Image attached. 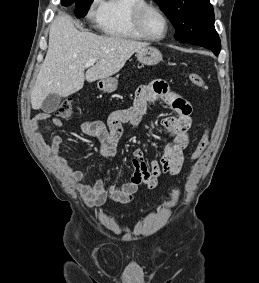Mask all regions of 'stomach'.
Segmentation results:
<instances>
[{"mask_svg":"<svg viewBox=\"0 0 259 283\" xmlns=\"http://www.w3.org/2000/svg\"><path fill=\"white\" fill-rule=\"evenodd\" d=\"M137 60L143 65H156L162 60L161 52L151 46L139 49L136 54ZM97 87L107 93L116 91L118 87L117 78L108 77L98 81Z\"/></svg>","mask_w":259,"mask_h":283,"instance_id":"1","label":"stomach"}]
</instances>
